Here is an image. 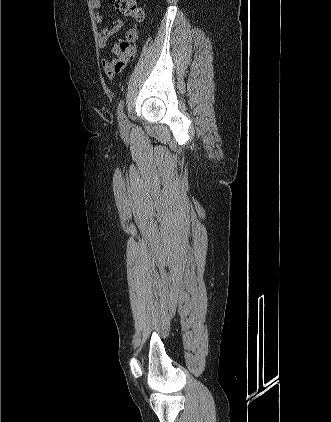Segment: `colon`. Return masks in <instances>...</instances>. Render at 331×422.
Segmentation results:
<instances>
[{
    "instance_id": "colon-1",
    "label": "colon",
    "mask_w": 331,
    "mask_h": 422,
    "mask_svg": "<svg viewBox=\"0 0 331 422\" xmlns=\"http://www.w3.org/2000/svg\"><path fill=\"white\" fill-rule=\"evenodd\" d=\"M115 10L133 21H141L144 17L137 0H111Z\"/></svg>"
}]
</instances>
